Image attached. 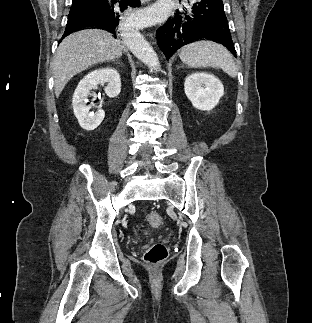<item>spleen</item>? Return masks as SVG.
<instances>
[{
  "mask_svg": "<svg viewBox=\"0 0 312 323\" xmlns=\"http://www.w3.org/2000/svg\"><path fill=\"white\" fill-rule=\"evenodd\" d=\"M180 60L190 68H222L231 78H236L237 68L228 50L215 42H193L184 46Z\"/></svg>",
  "mask_w": 312,
  "mask_h": 323,
  "instance_id": "3e777b00",
  "label": "spleen"
}]
</instances>
